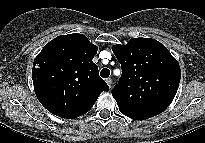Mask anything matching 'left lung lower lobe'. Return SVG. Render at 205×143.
Segmentation results:
<instances>
[{"label": "left lung lower lobe", "mask_w": 205, "mask_h": 143, "mask_svg": "<svg viewBox=\"0 0 205 143\" xmlns=\"http://www.w3.org/2000/svg\"><path fill=\"white\" fill-rule=\"evenodd\" d=\"M166 108H146V109H129L119 107L124 115L134 120H144L162 113Z\"/></svg>", "instance_id": "obj_1"}]
</instances>
